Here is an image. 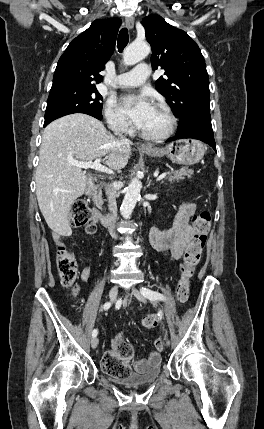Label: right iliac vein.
Here are the masks:
<instances>
[{
	"label": "right iliac vein",
	"instance_id": "1",
	"mask_svg": "<svg viewBox=\"0 0 264 429\" xmlns=\"http://www.w3.org/2000/svg\"><path fill=\"white\" fill-rule=\"evenodd\" d=\"M118 294V286L114 285L109 292V300L110 302H114L116 300ZM99 340L97 337H93L91 340V346L95 349L98 346Z\"/></svg>",
	"mask_w": 264,
	"mask_h": 429
}]
</instances>
